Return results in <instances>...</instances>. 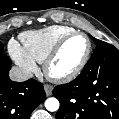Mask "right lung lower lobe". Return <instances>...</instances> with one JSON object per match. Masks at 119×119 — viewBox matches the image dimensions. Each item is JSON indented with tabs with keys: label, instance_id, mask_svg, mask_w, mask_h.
Returning a JSON list of instances; mask_svg holds the SVG:
<instances>
[{
	"label": "right lung lower lobe",
	"instance_id": "obj_1",
	"mask_svg": "<svg viewBox=\"0 0 119 119\" xmlns=\"http://www.w3.org/2000/svg\"><path fill=\"white\" fill-rule=\"evenodd\" d=\"M10 68V59L0 55V119H29L46 97L43 85L34 79L11 81Z\"/></svg>",
	"mask_w": 119,
	"mask_h": 119
}]
</instances>
